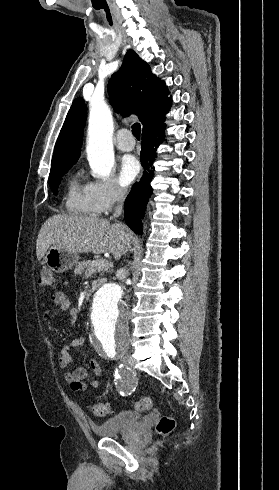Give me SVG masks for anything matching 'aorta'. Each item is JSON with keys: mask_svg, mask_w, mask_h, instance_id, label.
I'll use <instances>...</instances> for the list:
<instances>
[{"mask_svg": "<svg viewBox=\"0 0 279 490\" xmlns=\"http://www.w3.org/2000/svg\"><path fill=\"white\" fill-rule=\"evenodd\" d=\"M113 119L104 103L90 109L87 157L95 176L107 178L114 166ZM123 288L114 283L101 286L93 295L90 330L93 344L103 351L124 345L129 338L128 311L122 300Z\"/></svg>", "mask_w": 279, "mask_h": 490, "instance_id": "762f6f07", "label": "aorta"}]
</instances>
